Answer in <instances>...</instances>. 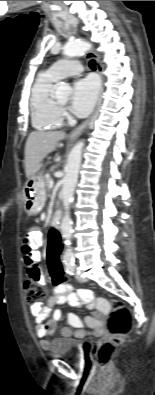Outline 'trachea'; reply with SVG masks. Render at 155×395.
Wrapping results in <instances>:
<instances>
[{
    "instance_id": "1",
    "label": "trachea",
    "mask_w": 155,
    "mask_h": 395,
    "mask_svg": "<svg viewBox=\"0 0 155 395\" xmlns=\"http://www.w3.org/2000/svg\"><path fill=\"white\" fill-rule=\"evenodd\" d=\"M89 67H90L91 69L95 70V68H96L95 60H90V62H89Z\"/></svg>"
}]
</instances>
